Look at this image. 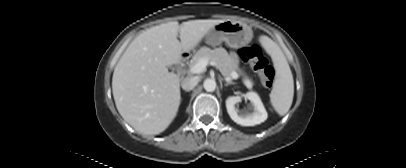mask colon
<instances>
[{"label":"colon","instance_id":"5ec220e1","mask_svg":"<svg viewBox=\"0 0 406 168\" xmlns=\"http://www.w3.org/2000/svg\"><path fill=\"white\" fill-rule=\"evenodd\" d=\"M239 56L258 72L264 86L270 87L272 85L275 77L274 68L269 65L258 45L242 47L239 50Z\"/></svg>","mask_w":406,"mask_h":168}]
</instances>
